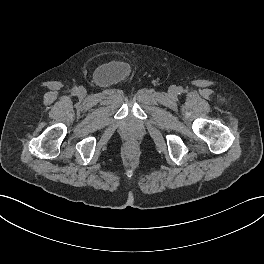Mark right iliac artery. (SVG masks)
Returning a JSON list of instances; mask_svg holds the SVG:
<instances>
[{
	"label": "right iliac artery",
	"instance_id": "obj_1",
	"mask_svg": "<svg viewBox=\"0 0 264 264\" xmlns=\"http://www.w3.org/2000/svg\"><path fill=\"white\" fill-rule=\"evenodd\" d=\"M77 92H78V88L77 87H75V88L72 89V93L73 94H77Z\"/></svg>",
	"mask_w": 264,
	"mask_h": 264
}]
</instances>
